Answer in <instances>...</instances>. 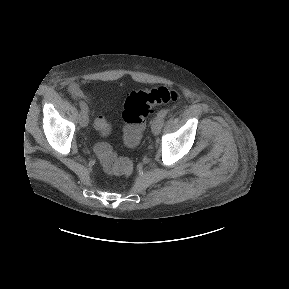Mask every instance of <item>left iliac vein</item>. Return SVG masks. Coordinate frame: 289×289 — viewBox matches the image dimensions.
<instances>
[{
    "label": "left iliac vein",
    "instance_id": "4c4485c4",
    "mask_svg": "<svg viewBox=\"0 0 289 289\" xmlns=\"http://www.w3.org/2000/svg\"><path fill=\"white\" fill-rule=\"evenodd\" d=\"M163 124V118L156 116L151 122V130L154 135H158L161 131Z\"/></svg>",
    "mask_w": 289,
    "mask_h": 289
}]
</instances>
